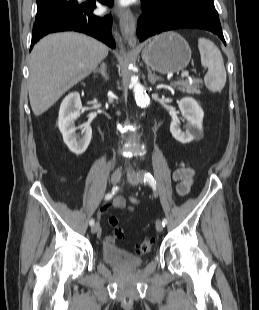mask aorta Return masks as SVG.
<instances>
[{
	"mask_svg": "<svg viewBox=\"0 0 259 310\" xmlns=\"http://www.w3.org/2000/svg\"><path fill=\"white\" fill-rule=\"evenodd\" d=\"M131 85L133 86V92L135 95L137 105L142 108L147 107L150 103V98L147 95L144 87L138 81V77L136 76L131 77ZM128 140L131 143H135L139 140V135L136 133H131L128 136Z\"/></svg>",
	"mask_w": 259,
	"mask_h": 310,
	"instance_id": "762f6f07",
	"label": "aorta"
}]
</instances>
